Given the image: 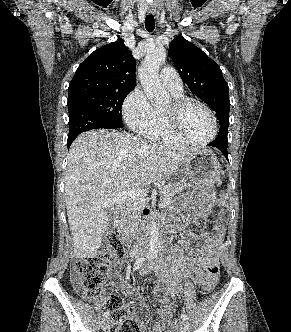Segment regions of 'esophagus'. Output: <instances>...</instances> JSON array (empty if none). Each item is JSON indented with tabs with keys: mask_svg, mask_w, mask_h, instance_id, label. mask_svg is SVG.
<instances>
[{
	"mask_svg": "<svg viewBox=\"0 0 291 332\" xmlns=\"http://www.w3.org/2000/svg\"><path fill=\"white\" fill-rule=\"evenodd\" d=\"M148 13H149V14H154V13H155V8H154V6H149V8H148Z\"/></svg>",
	"mask_w": 291,
	"mask_h": 332,
	"instance_id": "1",
	"label": "esophagus"
}]
</instances>
